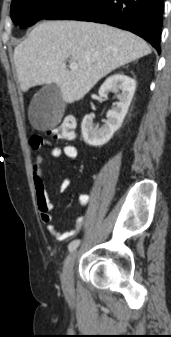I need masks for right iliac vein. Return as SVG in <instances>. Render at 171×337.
I'll use <instances>...</instances> for the list:
<instances>
[{
	"label": "right iliac vein",
	"mask_w": 171,
	"mask_h": 337,
	"mask_svg": "<svg viewBox=\"0 0 171 337\" xmlns=\"http://www.w3.org/2000/svg\"><path fill=\"white\" fill-rule=\"evenodd\" d=\"M75 260L76 251H73L64 262L62 284L66 296H71L73 294V267Z\"/></svg>",
	"instance_id": "1"
}]
</instances>
